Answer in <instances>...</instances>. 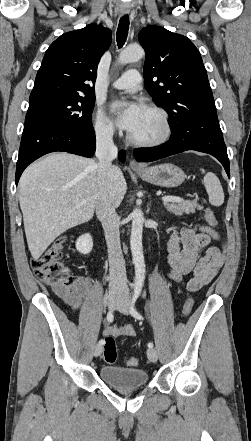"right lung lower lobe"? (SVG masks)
I'll return each instance as SVG.
<instances>
[{
	"mask_svg": "<svg viewBox=\"0 0 251 441\" xmlns=\"http://www.w3.org/2000/svg\"><path fill=\"white\" fill-rule=\"evenodd\" d=\"M96 149L95 132L76 131L50 119L27 115L16 166V185L24 169L39 157L55 151H64L84 157H92ZM125 161V152H119Z\"/></svg>",
	"mask_w": 251,
	"mask_h": 441,
	"instance_id": "obj_1",
	"label": "right lung lower lobe"
}]
</instances>
